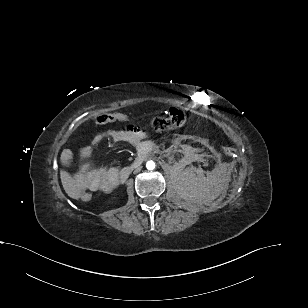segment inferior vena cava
<instances>
[{
  "label": "inferior vena cava",
  "mask_w": 308,
  "mask_h": 308,
  "mask_svg": "<svg viewBox=\"0 0 308 308\" xmlns=\"http://www.w3.org/2000/svg\"><path fill=\"white\" fill-rule=\"evenodd\" d=\"M140 170H141V168H140V167H138V168H136V169H135V171H134V172L138 173V172H140Z\"/></svg>",
  "instance_id": "1"
}]
</instances>
